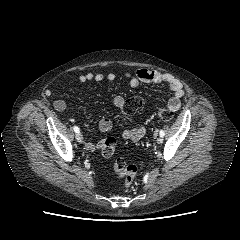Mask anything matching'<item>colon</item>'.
I'll return each mask as SVG.
<instances>
[{
	"mask_svg": "<svg viewBox=\"0 0 240 240\" xmlns=\"http://www.w3.org/2000/svg\"><path fill=\"white\" fill-rule=\"evenodd\" d=\"M143 104V99L134 95L129 97L123 106V111L125 113H133L139 109ZM159 118L168 122L173 117V112L169 108H161L158 111ZM116 150V140L113 137L107 138L102 146V154L106 158H110L114 155ZM114 171L115 173L124 180V186L129 187L135 180L137 174V168L135 165L127 164L123 159H116L114 162Z\"/></svg>",
	"mask_w": 240,
	"mask_h": 240,
	"instance_id": "obj_1",
	"label": "colon"
}]
</instances>
